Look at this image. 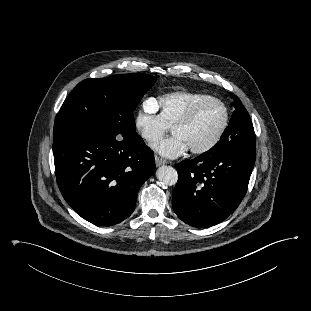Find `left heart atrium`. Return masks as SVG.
<instances>
[{"mask_svg":"<svg viewBox=\"0 0 311 311\" xmlns=\"http://www.w3.org/2000/svg\"><path fill=\"white\" fill-rule=\"evenodd\" d=\"M153 149L162 157L174 159L183 155L189 146L179 135H172L157 142Z\"/></svg>","mask_w":311,"mask_h":311,"instance_id":"1","label":"left heart atrium"}]
</instances>
